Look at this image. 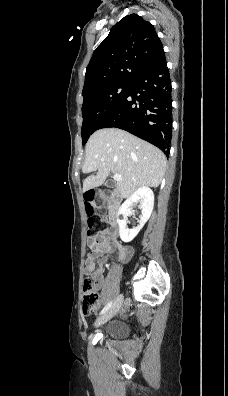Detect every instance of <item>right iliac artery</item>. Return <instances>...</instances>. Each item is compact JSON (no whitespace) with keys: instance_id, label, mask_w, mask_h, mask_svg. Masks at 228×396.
<instances>
[{"instance_id":"right-iliac-artery-1","label":"right iliac artery","mask_w":228,"mask_h":396,"mask_svg":"<svg viewBox=\"0 0 228 396\" xmlns=\"http://www.w3.org/2000/svg\"><path fill=\"white\" fill-rule=\"evenodd\" d=\"M112 306V301L109 302L101 311V314L106 313Z\"/></svg>"}]
</instances>
